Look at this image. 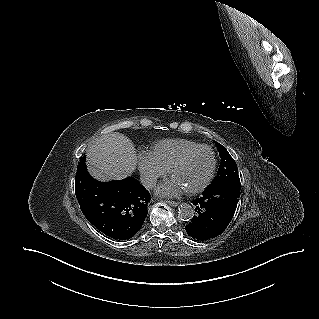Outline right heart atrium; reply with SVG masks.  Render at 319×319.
Wrapping results in <instances>:
<instances>
[{
	"label": "right heart atrium",
	"mask_w": 319,
	"mask_h": 319,
	"mask_svg": "<svg viewBox=\"0 0 319 319\" xmlns=\"http://www.w3.org/2000/svg\"><path fill=\"white\" fill-rule=\"evenodd\" d=\"M138 169L141 180L147 188L153 187L156 182L166 175V170L157 164L149 153L138 155Z\"/></svg>",
	"instance_id": "obj_1"
}]
</instances>
